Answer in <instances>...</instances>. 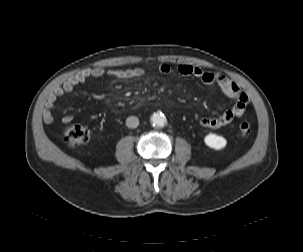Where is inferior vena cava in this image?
<instances>
[{
  "mask_svg": "<svg viewBox=\"0 0 303 252\" xmlns=\"http://www.w3.org/2000/svg\"><path fill=\"white\" fill-rule=\"evenodd\" d=\"M139 125V119L136 116H130L126 119V126L128 128H136Z\"/></svg>",
  "mask_w": 303,
  "mask_h": 252,
  "instance_id": "602c4592",
  "label": "inferior vena cava"
}]
</instances>
